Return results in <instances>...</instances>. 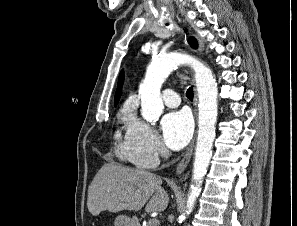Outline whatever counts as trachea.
I'll list each match as a JSON object with an SVG mask.
<instances>
[{
	"mask_svg": "<svg viewBox=\"0 0 297 226\" xmlns=\"http://www.w3.org/2000/svg\"><path fill=\"white\" fill-rule=\"evenodd\" d=\"M186 95H187V98L189 100H193V96H194V93H193V87H190L187 92H186Z\"/></svg>",
	"mask_w": 297,
	"mask_h": 226,
	"instance_id": "1",
	"label": "trachea"
}]
</instances>
